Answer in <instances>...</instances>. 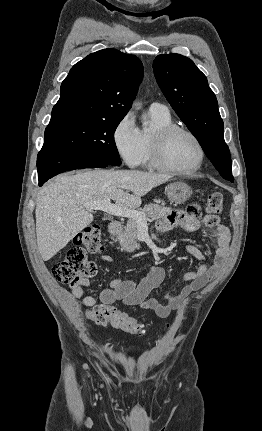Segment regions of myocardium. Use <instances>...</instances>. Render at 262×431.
<instances>
[{
    "mask_svg": "<svg viewBox=\"0 0 262 431\" xmlns=\"http://www.w3.org/2000/svg\"><path fill=\"white\" fill-rule=\"evenodd\" d=\"M178 133H183L188 135L197 145L199 151V158L197 164L190 170H184L170 165L165 158V145L167 140ZM206 157L205 148L203 143L198 138V136L192 132L191 130L178 126V125H170L163 126L157 128L151 137V158L153 165L164 172L190 176L195 174L198 170H200L203 166L204 160Z\"/></svg>",
    "mask_w": 262,
    "mask_h": 431,
    "instance_id": "f54148a6",
    "label": "myocardium"
}]
</instances>
